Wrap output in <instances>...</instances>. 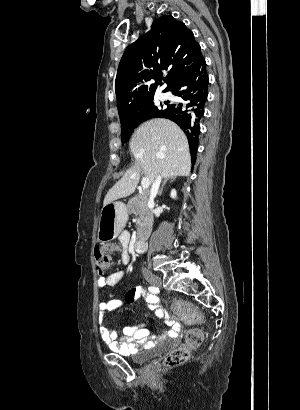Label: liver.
Wrapping results in <instances>:
<instances>
[{
  "label": "liver",
  "instance_id": "obj_1",
  "mask_svg": "<svg viewBox=\"0 0 300 410\" xmlns=\"http://www.w3.org/2000/svg\"><path fill=\"white\" fill-rule=\"evenodd\" d=\"M129 148L136 163L108 191L104 205L130 196L140 180V174L153 183L163 178L188 176L191 157L188 140L172 121L156 118L141 124L131 137Z\"/></svg>",
  "mask_w": 300,
  "mask_h": 410
}]
</instances>
